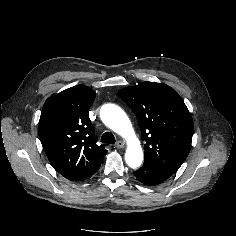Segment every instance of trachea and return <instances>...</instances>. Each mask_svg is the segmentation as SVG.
I'll list each match as a JSON object with an SVG mask.
<instances>
[{
  "instance_id": "3493384b",
  "label": "trachea",
  "mask_w": 236,
  "mask_h": 236,
  "mask_svg": "<svg viewBox=\"0 0 236 236\" xmlns=\"http://www.w3.org/2000/svg\"><path fill=\"white\" fill-rule=\"evenodd\" d=\"M101 142L107 144H114L115 137L111 132H105L101 137Z\"/></svg>"
}]
</instances>
